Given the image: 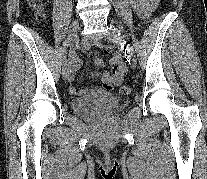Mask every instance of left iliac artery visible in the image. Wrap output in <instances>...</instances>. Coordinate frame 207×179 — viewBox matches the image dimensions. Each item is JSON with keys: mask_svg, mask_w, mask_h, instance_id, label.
<instances>
[{"mask_svg": "<svg viewBox=\"0 0 207 179\" xmlns=\"http://www.w3.org/2000/svg\"><path fill=\"white\" fill-rule=\"evenodd\" d=\"M121 33V39L124 41V45L126 46V50L130 51L132 49L131 45L129 44V37L127 35H124L123 30H120Z\"/></svg>", "mask_w": 207, "mask_h": 179, "instance_id": "1", "label": "left iliac artery"}]
</instances>
